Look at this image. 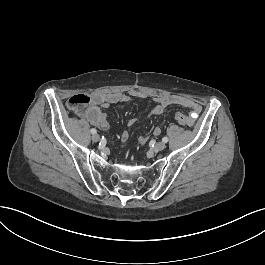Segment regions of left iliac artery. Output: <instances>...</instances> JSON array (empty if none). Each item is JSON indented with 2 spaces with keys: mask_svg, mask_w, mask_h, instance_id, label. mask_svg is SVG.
Returning a JSON list of instances; mask_svg holds the SVG:
<instances>
[{
  "mask_svg": "<svg viewBox=\"0 0 265 265\" xmlns=\"http://www.w3.org/2000/svg\"><path fill=\"white\" fill-rule=\"evenodd\" d=\"M162 141H163L164 143H166V142H168V138H167V137H163V138H162Z\"/></svg>",
  "mask_w": 265,
  "mask_h": 265,
  "instance_id": "obj_1",
  "label": "left iliac artery"
}]
</instances>
